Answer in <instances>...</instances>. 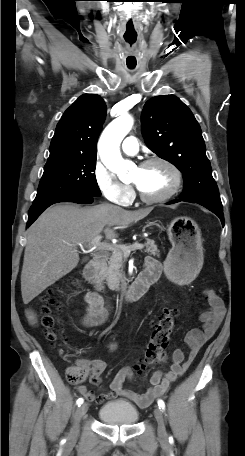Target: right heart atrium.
Instances as JSON below:
<instances>
[{
    "label": "right heart atrium",
    "instance_id": "obj_1",
    "mask_svg": "<svg viewBox=\"0 0 245 456\" xmlns=\"http://www.w3.org/2000/svg\"><path fill=\"white\" fill-rule=\"evenodd\" d=\"M92 174L99 191L107 200L122 206L131 202L133 197L131 186L122 183L100 161L95 162Z\"/></svg>",
    "mask_w": 245,
    "mask_h": 456
}]
</instances>
